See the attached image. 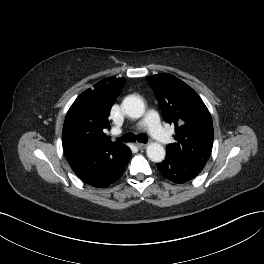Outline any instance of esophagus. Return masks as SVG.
<instances>
[{
	"label": "esophagus",
	"instance_id": "obj_1",
	"mask_svg": "<svg viewBox=\"0 0 264 264\" xmlns=\"http://www.w3.org/2000/svg\"><path fill=\"white\" fill-rule=\"evenodd\" d=\"M135 145H136L139 149H145V148L147 147V144H145V143H139V142H137Z\"/></svg>",
	"mask_w": 264,
	"mask_h": 264
}]
</instances>
